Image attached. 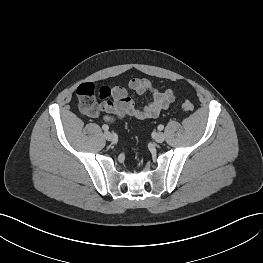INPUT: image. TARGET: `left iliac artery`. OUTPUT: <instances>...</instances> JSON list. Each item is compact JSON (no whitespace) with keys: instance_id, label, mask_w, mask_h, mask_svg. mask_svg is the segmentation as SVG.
Masks as SVG:
<instances>
[{"instance_id":"1","label":"left iliac artery","mask_w":263,"mask_h":263,"mask_svg":"<svg viewBox=\"0 0 263 263\" xmlns=\"http://www.w3.org/2000/svg\"><path fill=\"white\" fill-rule=\"evenodd\" d=\"M164 129V126L162 125V124H160L159 126H158V130H163Z\"/></svg>"}]
</instances>
